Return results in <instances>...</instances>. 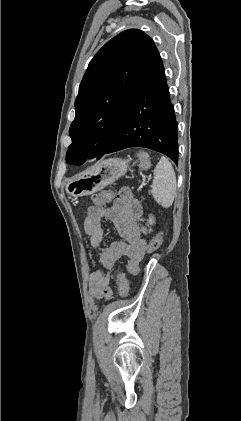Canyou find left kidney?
Returning <instances> with one entry per match:
<instances>
[{
  "instance_id": "1",
  "label": "left kidney",
  "mask_w": 241,
  "mask_h": 421,
  "mask_svg": "<svg viewBox=\"0 0 241 421\" xmlns=\"http://www.w3.org/2000/svg\"><path fill=\"white\" fill-rule=\"evenodd\" d=\"M153 223H154V217L153 216H150L149 217V224L152 225Z\"/></svg>"
}]
</instances>
